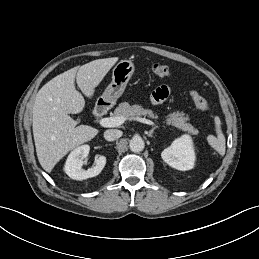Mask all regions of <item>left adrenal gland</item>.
<instances>
[{
	"label": "left adrenal gland",
	"instance_id": "left-adrenal-gland-1",
	"mask_svg": "<svg viewBox=\"0 0 259 259\" xmlns=\"http://www.w3.org/2000/svg\"><path fill=\"white\" fill-rule=\"evenodd\" d=\"M157 128V126L153 127L149 132H147L148 137H152L154 130Z\"/></svg>",
	"mask_w": 259,
	"mask_h": 259
}]
</instances>
